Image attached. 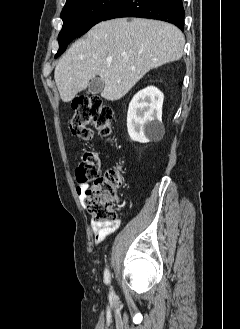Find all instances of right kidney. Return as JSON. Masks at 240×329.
I'll return each instance as SVG.
<instances>
[{"label":"right kidney","mask_w":240,"mask_h":329,"mask_svg":"<svg viewBox=\"0 0 240 329\" xmlns=\"http://www.w3.org/2000/svg\"><path fill=\"white\" fill-rule=\"evenodd\" d=\"M163 100V93L154 86L134 95L127 113V129L131 140L148 143L163 136Z\"/></svg>","instance_id":"obj_1"}]
</instances>
